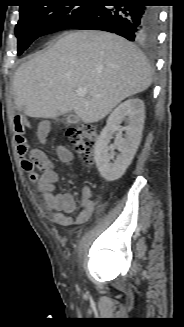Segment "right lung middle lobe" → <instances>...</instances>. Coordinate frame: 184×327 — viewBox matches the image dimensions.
Instances as JSON below:
<instances>
[{"instance_id": "right-lung-middle-lobe-1", "label": "right lung middle lobe", "mask_w": 184, "mask_h": 327, "mask_svg": "<svg viewBox=\"0 0 184 327\" xmlns=\"http://www.w3.org/2000/svg\"><path fill=\"white\" fill-rule=\"evenodd\" d=\"M41 3L43 1L19 11L20 19L15 27V35L18 39V55H21L36 38L66 28L65 22L72 27L94 7V5L44 6ZM68 13L71 15L65 16Z\"/></svg>"}]
</instances>
